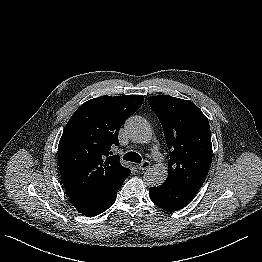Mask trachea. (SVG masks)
I'll list each match as a JSON object with an SVG mask.
<instances>
[{
  "mask_svg": "<svg viewBox=\"0 0 262 262\" xmlns=\"http://www.w3.org/2000/svg\"><path fill=\"white\" fill-rule=\"evenodd\" d=\"M123 159L126 161L134 162V163H141V156L136 152H128L123 156Z\"/></svg>",
  "mask_w": 262,
  "mask_h": 262,
  "instance_id": "obj_1",
  "label": "trachea"
}]
</instances>
